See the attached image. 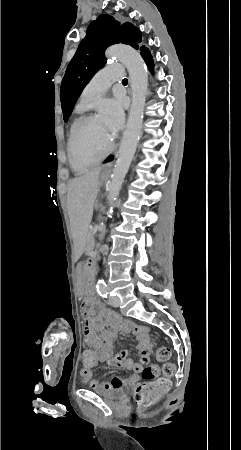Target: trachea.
<instances>
[{
	"label": "trachea",
	"mask_w": 241,
	"mask_h": 450,
	"mask_svg": "<svg viewBox=\"0 0 241 450\" xmlns=\"http://www.w3.org/2000/svg\"><path fill=\"white\" fill-rule=\"evenodd\" d=\"M123 82H128L127 78H123Z\"/></svg>",
	"instance_id": "obj_1"
}]
</instances>
